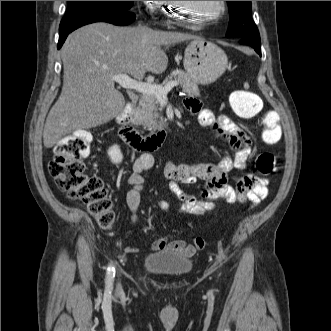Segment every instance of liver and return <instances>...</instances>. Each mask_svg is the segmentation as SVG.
Here are the masks:
<instances>
[{"instance_id":"liver-1","label":"liver","mask_w":331,"mask_h":331,"mask_svg":"<svg viewBox=\"0 0 331 331\" xmlns=\"http://www.w3.org/2000/svg\"><path fill=\"white\" fill-rule=\"evenodd\" d=\"M197 36L94 23L71 33L62 49L63 87L43 131L46 148L67 134L90 129L115 118L125 106L113 76L129 74L142 81L146 72L160 74L168 65L161 46Z\"/></svg>"}]
</instances>
